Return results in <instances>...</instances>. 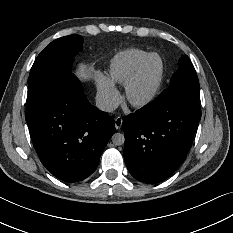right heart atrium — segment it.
Listing matches in <instances>:
<instances>
[{
  "mask_svg": "<svg viewBox=\"0 0 233 233\" xmlns=\"http://www.w3.org/2000/svg\"><path fill=\"white\" fill-rule=\"evenodd\" d=\"M97 100L104 111H113L121 102V94L115 85L100 71L95 72Z\"/></svg>",
  "mask_w": 233,
  "mask_h": 233,
  "instance_id": "d8ad5b80",
  "label": "right heart atrium"
}]
</instances>
